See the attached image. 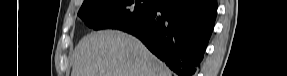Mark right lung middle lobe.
I'll return each instance as SVG.
<instances>
[{
    "mask_svg": "<svg viewBox=\"0 0 287 76\" xmlns=\"http://www.w3.org/2000/svg\"><path fill=\"white\" fill-rule=\"evenodd\" d=\"M156 0H89L78 16L94 30L118 29L135 25L147 18Z\"/></svg>",
    "mask_w": 287,
    "mask_h": 76,
    "instance_id": "dd1d6c3e",
    "label": "right lung middle lobe"
}]
</instances>
